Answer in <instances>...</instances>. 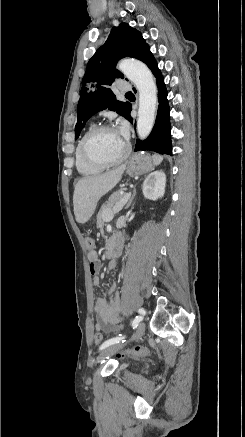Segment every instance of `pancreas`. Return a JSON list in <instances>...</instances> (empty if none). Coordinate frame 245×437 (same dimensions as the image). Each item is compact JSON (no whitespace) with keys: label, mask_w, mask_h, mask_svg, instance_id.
Returning <instances> with one entry per match:
<instances>
[{"label":"pancreas","mask_w":245,"mask_h":437,"mask_svg":"<svg viewBox=\"0 0 245 437\" xmlns=\"http://www.w3.org/2000/svg\"><path fill=\"white\" fill-rule=\"evenodd\" d=\"M125 193L120 189L114 192L108 199V201L102 206L97 215V227L103 229L104 222L108 213L112 211L115 205H117L124 197Z\"/></svg>","instance_id":"1"}]
</instances>
